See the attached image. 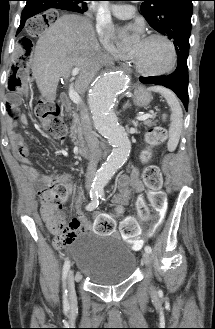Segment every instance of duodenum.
I'll use <instances>...</instances> for the list:
<instances>
[{
  "mask_svg": "<svg viewBox=\"0 0 215 329\" xmlns=\"http://www.w3.org/2000/svg\"><path fill=\"white\" fill-rule=\"evenodd\" d=\"M60 104L65 109L70 107L71 102H70V99H69V97L66 93L61 94ZM77 149H78V154L81 157H84V158H89L90 157V151L86 146H84L82 144H78Z\"/></svg>",
  "mask_w": 215,
  "mask_h": 329,
  "instance_id": "obj_1",
  "label": "duodenum"
}]
</instances>
